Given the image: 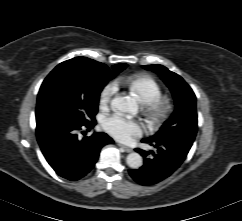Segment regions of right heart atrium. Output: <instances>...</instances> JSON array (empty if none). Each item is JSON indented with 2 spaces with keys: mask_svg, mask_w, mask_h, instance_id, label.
Returning a JSON list of instances; mask_svg holds the SVG:
<instances>
[{
  "mask_svg": "<svg viewBox=\"0 0 242 221\" xmlns=\"http://www.w3.org/2000/svg\"><path fill=\"white\" fill-rule=\"evenodd\" d=\"M117 90H118V85L116 82L107 83L100 91V95H99L100 105L101 106L109 105L114 95L116 94Z\"/></svg>",
  "mask_w": 242,
  "mask_h": 221,
  "instance_id": "d8ad5b80",
  "label": "right heart atrium"
}]
</instances>
